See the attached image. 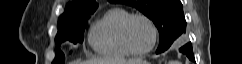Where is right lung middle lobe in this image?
Segmentation results:
<instances>
[{"label": "right lung middle lobe", "mask_w": 242, "mask_h": 64, "mask_svg": "<svg viewBox=\"0 0 242 64\" xmlns=\"http://www.w3.org/2000/svg\"><path fill=\"white\" fill-rule=\"evenodd\" d=\"M92 12L91 14H93ZM87 14L79 18L78 20L63 23H58V33L56 35V57L52 64H63L65 61V55L59 49L62 42L70 41L74 44L82 43L84 39V29L87 25L89 15Z\"/></svg>", "instance_id": "dd1d6c3e"}]
</instances>
